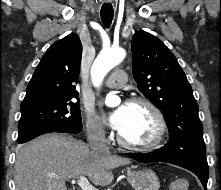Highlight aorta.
<instances>
[{
  "label": "aorta",
  "mask_w": 221,
  "mask_h": 190,
  "mask_svg": "<svg viewBox=\"0 0 221 190\" xmlns=\"http://www.w3.org/2000/svg\"><path fill=\"white\" fill-rule=\"evenodd\" d=\"M126 52L122 48H111L108 50H102L95 59L91 76L93 84L98 87L105 75L116 65H118L125 58ZM118 102L117 97L108 96L106 99L107 105H114Z\"/></svg>",
  "instance_id": "1"
}]
</instances>
